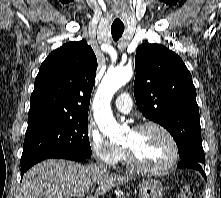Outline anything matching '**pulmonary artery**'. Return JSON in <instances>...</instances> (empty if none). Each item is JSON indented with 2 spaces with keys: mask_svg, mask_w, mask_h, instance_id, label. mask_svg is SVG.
<instances>
[{
  "mask_svg": "<svg viewBox=\"0 0 221 198\" xmlns=\"http://www.w3.org/2000/svg\"><path fill=\"white\" fill-rule=\"evenodd\" d=\"M115 106L122 113H129L132 108V100L128 93L120 94L115 100Z\"/></svg>",
  "mask_w": 221,
  "mask_h": 198,
  "instance_id": "obj_1",
  "label": "pulmonary artery"
}]
</instances>
